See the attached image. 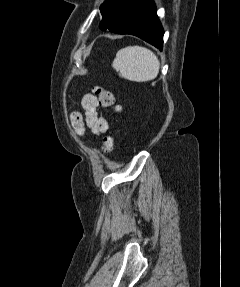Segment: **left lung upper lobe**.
Returning <instances> with one entry per match:
<instances>
[{
  "mask_svg": "<svg viewBox=\"0 0 240 287\" xmlns=\"http://www.w3.org/2000/svg\"><path fill=\"white\" fill-rule=\"evenodd\" d=\"M108 0H106L100 7V11L102 12L103 8L105 7L106 3H107Z\"/></svg>",
  "mask_w": 240,
  "mask_h": 287,
  "instance_id": "obj_1",
  "label": "left lung upper lobe"
}]
</instances>
